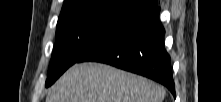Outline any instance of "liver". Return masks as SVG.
Segmentation results:
<instances>
[{
  "instance_id": "liver-1",
  "label": "liver",
  "mask_w": 221,
  "mask_h": 102,
  "mask_svg": "<svg viewBox=\"0 0 221 102\" xmlns=\"http://www.w3.org/2000/svg\"><path fill=\"white\" fill-rule=\"evenodd\" d=\"M165 89L141 76L100 63L75 64L49 91L46 102H162Z\"/></svg>"
}]
</instances>
